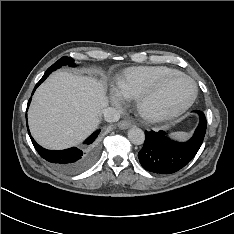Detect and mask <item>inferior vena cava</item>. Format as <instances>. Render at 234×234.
Instances as JSON below:
<instances>
[{
    "mask_svg": "<svg viewBox=\"0 0 234 234\" xmlns=\"http://www.w3.org/2000/svg\"><path fill=\"white\" fill-rule=\"evenodd\" d=\"M103 117L107 122H116L120 119V113L112 107L103 109Z\"/></svg>",
    "mask_w": 234,
    "mask_h": 234,
    "instance_id": "obj_1",
    "label": "inferior vena cava"
}]
</instances>
